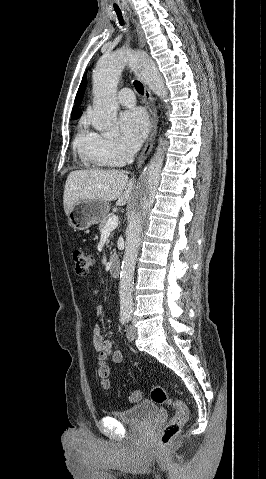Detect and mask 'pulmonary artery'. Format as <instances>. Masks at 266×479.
Segmentation results:
<instances>
[{
  "label": "pulmonary artery",
  "instance_id": "pulmonary-artery-1",
  "mask_svg": "<svg viewBox=\"0 0 266 479\" xmlns=\"http://www.w3.org/2000/svg\"><path fill=\"white\" fill-rule=\"evenodd\" d=\"M118 101L125 107H132L135 105V95L132 89L123 88L118 95Z\"/></svg>",
  "mask_w": 266,
  "mask_h": 479
}]
</instances>
